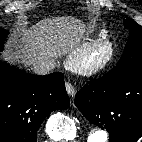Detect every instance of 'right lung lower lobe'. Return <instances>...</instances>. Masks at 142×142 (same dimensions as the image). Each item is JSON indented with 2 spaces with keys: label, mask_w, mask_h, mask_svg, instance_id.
<instances>
[{
  "label": "right lung lower lobe",
  "mask_w": 142,
  "mask_h": 142,
  "mask_svg": "<svg viewBox=\"0 0 142 142\" xmlns=\"http://www.w3.org/2000/svg\"><path fill=\"white\" fill-rule=\"evenodd\" d=\"M63 74L37 76L0 63V142H36L42 121L70 101Z\"/></svg>",
  "instance_id": "1"
}]
</instances>
